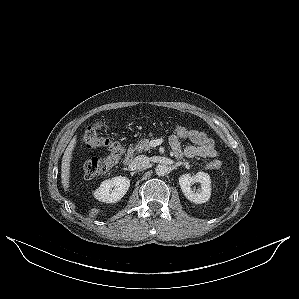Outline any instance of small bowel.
I'll return each mask as SVG.
<instances>
[{
    "instance_id": "small-bowel-1",
    "label": "small bowel",
    "mask_w": 299,
    "mask_h": 299,
    "mask_svg": "<svg viewBox=\"0 0 299 299\" xmlns=\"http://www.w3.org/2000/svg\"><path fill=\"white\" fill-rule=\"evenodd\" d=\"M191 145L182 147L180 139L172 135L170 137V145L177 157H204L216 158L218 152L215 148V142L206 133L197 131L195 137L191 140Z\"/></svg>"
}]
</instances>
